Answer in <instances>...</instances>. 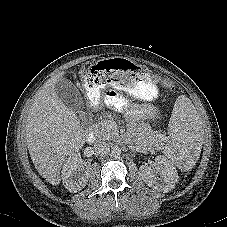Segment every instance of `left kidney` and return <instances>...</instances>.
Listing matches in <instances>:
<instances>
[{
	"mask_svg": "<svg viewBox=\"0 0 227 227\" xmlns=\"http://www.w3.org/2000/svg\"><path fill=\"white\" fill-rule=\"evenodd\" d=\"M155 162L158 165V170L141 165L139 168L140 176L149 187L159 192L167 193L175 188L179 178L177 170L173 163L165 157L158 156Z\"/></svg>",
	"mask_w": 227,
	"mask_h": 227,
	"instance_id": "obj_1",
	"label": "left kidney"
}]
</instances>
